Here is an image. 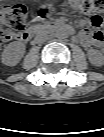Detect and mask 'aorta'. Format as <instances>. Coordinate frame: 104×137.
Returning a JSON list of instances; mask_svg holds the SVG:
<instances>
[{
    "label": "aorta",
    "instance_id": "aorta-1",
    "mask_svg": "<svg viewBox=\"0 0 104 137\" xmlns=\"http://www.w3.org/2000/svg\"><path fill=\"white\" fill-rule=\"evenodd\" d=\"M58 39H64L66 37V32L58 31L55 35Z\"/></svg>",
    "mask_w": 104,
    "mask_h": 137
}]
</instances>
